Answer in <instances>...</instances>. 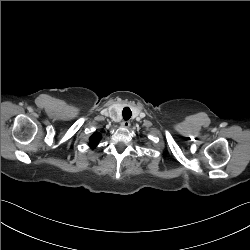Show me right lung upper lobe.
Masks as SVG:
<instances>
[{"instance_id":"obj_1","label":"right lung upper lobe","mask_w":250,"mask_h":250,"mask_svg":"<svg viewBox=\"0 0 250 250\" xmlns=\"http://www.w3.org/2000/svg\"><path fill=\"white\" fill-rule=\"evenodd\" d=\"M100 139H101V135L100 134L95 133L94 135H92L90 137V146L92 148H94L99 143Z\"/></svg>"}]
</instances>
